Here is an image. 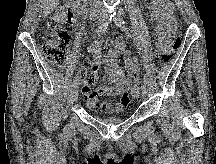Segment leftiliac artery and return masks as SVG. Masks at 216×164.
Instances as JSON below:
<instances>
[{"label": "left iliac artery", "instance_id": "44dca946", "mask_svg": "<svg viewBox=\"0 0 216 164\" xmlns=\"http://www.w3.org/2000/svg\"><path fill=\"white\" fill-rule=\"evenodd\" d=\"M114 22H115V24H116L118 27H120L121 29H123V30L126 29V23H125V21L123 20V18H120V17L115 18V19H114ZM142 75L144 76V77H143L144 82H148V77L146 76L147 74L144 72Z\"/></svg>", "mask_w": 216, "mask_h": 164}]
</instances>
